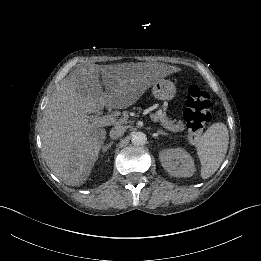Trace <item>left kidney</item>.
Returning a JSON list of instances; mask_svg holds the SVG:
<instances>
[{
  "instance_id": "5707ae66",
  "label": "left kidney",
  "mask_w": 261,
  "mask_h": 261,
  "mask_svg": "<svg viewBox=\"0 0 261 261\" xmlns=\"http://www.w3.org/2000/svg\"><path fill=\"white\" fill-rule=\"evenodd\" d=\"M162 167L174 177H191L195 172L194 160L182 148L164 149L159 152Z\"/></svg>"
}]
</instances>
